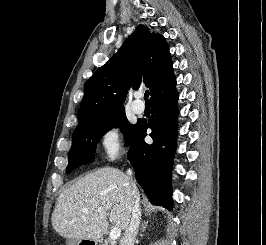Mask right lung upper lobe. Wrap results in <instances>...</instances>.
I'll list each match as a JSON object with an SVG mask.
<instances>
[{
  "instance_id": "1",
  "label": "right lung upper lobe",
  "mask_w": 266,
  "mask_h": 245,
  "mask_svg": "<svg viewBox=\"0 0 266 245\" xmlns=\"http://www.w3.org/2000/svg\"><path fill=\"white\" fill-rule=\"evenodd\" d=\"M175 81L165 38L140 25L86 82L79 121L124 110L130 88L145 83L153 97Z\"/></svg>"
}]
</instances>
